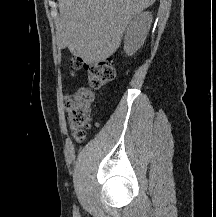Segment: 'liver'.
<instances>
[{
	"label": "liver",
	"mask_w": 216,
	"mask_h": 217,
	"mask_svg": "<svg viewBox=\"0 0 216 217\" xmlns=\"http://www.w3.org/2000/svg\"><path fill=\"white\" fill-rule=\"evenodd\" d=\"M155 0H59L58 46L84 62L106 60L121 44L132 18Z\"/></svg>",
	"instance_id": "6515ba94"
}]
</instances>
